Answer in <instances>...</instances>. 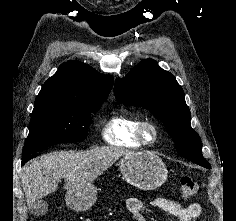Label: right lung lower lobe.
<instances>
[{
	"label": "right lung lower lobe",
	"instance_id": "1",
	"mask_svg": "<svg viewBox=\"0 0 236 221\" xmlns=\"http://www.w3.org/2000/svg\"><path fill=\"white\" fill-rule=\"evenodd\" d=\"M34 156H35V153L34 154H30V155L25 156V157H22V165L25 164L30 159H32Z\"/></svg>",
	"mask_w": 236,
	"mask_h": 221
}]
</instances>
